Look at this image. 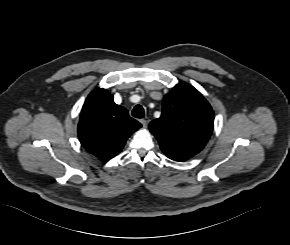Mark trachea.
Returning a JSON list of instances; mask_svg holds the SVG:
<instances>
[{
	"mask_svg": "<svg viewBox=\"0 0 290 245\" xmlns=\"http://www.w3.org/2000/svg\"><path fill=\"white\" fill-rule=\"evenodd\" d=\"M132 116L135 118H143L144 117V108L141 105H136L132 110Z\"/></svg>",
	"mask_w": 290,
	"mask_h": 245,
	"instance_id": "3493384b",
	"label": "trachea"
}]
</instances>
